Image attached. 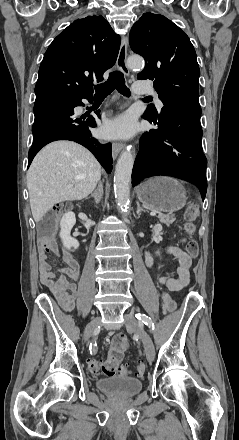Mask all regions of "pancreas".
<instances>
[{"label": "pancreas", "mask_w": 239, "mask_h": 440, "mask_svg": "<svg viewBox=\"0 0 239 440\" xmlns=\"http://www.w3.org/2000/svg\"><path fill=\"white\" fill-rule=\"evenodd\" d=\"M157 218H159L161 224H166V226H170V224H173L174 220H176L175 214H171V216L164 214V216H157Z\"/></svg>", "instance_id": "pancreas-1"}]
</instances>
